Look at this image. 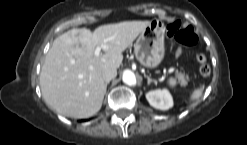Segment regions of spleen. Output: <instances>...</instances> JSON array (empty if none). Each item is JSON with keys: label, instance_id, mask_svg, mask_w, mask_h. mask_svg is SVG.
Returning a JSON list of instances; mask_svg holds the SVG:
<instances>
[{"label": "spleen", "instance_id": "spleen-1", "mask_svg": "<svg viewBox=\"0 0 247 145\" xmlns=\"http://www.w3.org/2000/svg\"><path fill=\"white\" fill-rule=\"evenodd\" d=\"M168 84H169L170 87H174L176 85V80L174 78H170L168 80ZM203 91H204V85H202L199 88L195 89L193 91V93L191 94L190 99L193 100V101L194 100H198L202 96Z\"/></svg>", "mask_w": 247, "mask_h": 145}]
</instances>
